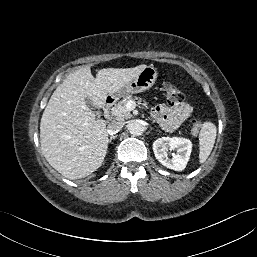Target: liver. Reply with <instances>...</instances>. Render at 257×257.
Listing matches in <instances>:
<instances>
[{"instance_id": "liver-1", "label": "liver", "mask_w": 257, "mask_h": 257, "mask_svg": "<svg viewBox=\"0 0 257 257\" xmlns=\"http://www.w3.org/2000/svg\"><path fill=\"white\" fill-rule=\"evenodd\" d=\"M145 64L133 68L90 67L69 74L53 92L41 118V150L48 163L68 179L85 178L103 163L108 148L106 121L87 106H105L108 95L134 79Z\"/></svg>"}]
</instances>
